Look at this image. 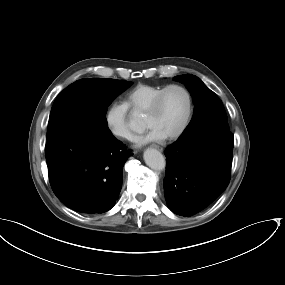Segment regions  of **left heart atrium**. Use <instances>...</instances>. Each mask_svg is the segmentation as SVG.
Returning <instances> with one entry per match:
<instances>
[{"mask_svg": "<svg viewBox=\"0 0 285 285\" xmlns=\"http://www.w3.org/2000/svg\"><path fill=\"white\" fill-rule=\"evenodd\" d=\"M161 138H162V135H160L156 130L151 128L145 136L138 139L137 144L142 145L146 142L153 141V140H159Z\"/></svg>", "mask_w": 285, "mask_h": 285, "instance_id": "39dd6f15", "label": "left heart atrium"}]
</instances>
